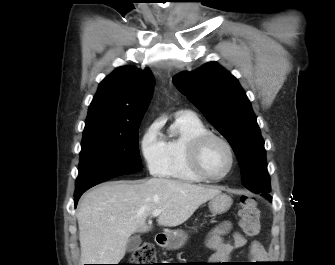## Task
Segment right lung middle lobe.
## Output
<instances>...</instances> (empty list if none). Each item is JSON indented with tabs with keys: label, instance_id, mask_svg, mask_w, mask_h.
<instances>
[{
	"label": "right lung middle lobe",
	"instance_id": "1",
	"mask_svg": "<svg viewBox=\"0 0 335 265\" xmlns=\"http://www.w3.org/2000/svg\"><path fill=\"white\" fill-rule=\"evenodd\" d=\"M139 124L119 132L83 134L76 191L142 170L138 148Z\"/></svg>",
	"mask_w": 335,
	"mask_h": 265
}]
</instances>
